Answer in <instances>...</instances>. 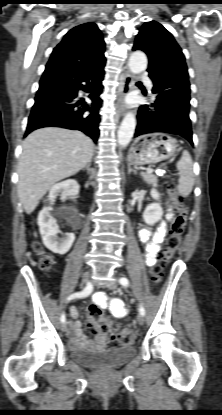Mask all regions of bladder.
Wrapping results in <instances>:
<instances>
[{
	"label": "bladder",
	"mask_w": 222,
	"mask_h": 415,
	"mask_svg": "<svg viewBox=\"0 0 222 415\" xmlns=\"http://www.w3.org/2000/svg\"><path fill=\"white\" fill-rule=\"evenodd\" d=\"M136 356L134 346L120 348H107L98 351H91L79 348L69 349V358L83 366L112 368L127 364Z\"/></svg>",
	"instance_id": "bladder-1"
}]
</instances>
